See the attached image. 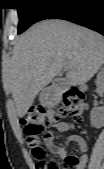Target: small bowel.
Listing matches in <instances>:
<instances>
[{"label": "small bowel", "mask_w": 104, "mask_h": 169, "mask_svg": "<svg viewBox=\"0 0 104 169\" xmlns=\"http://www.w3.org/2000/svg\"><path fill=\"white\" fill-rule=\"evenodd\" d=\"M69 128L70 126L67 122H59L55 125V130L58 132H67ZM45 141L47 142V144L53 145L52 138L49 134L45 136ZM72 145H77L79 150L82 152V156L78 159L79 162L75 168L85 169L88 161V155H87L88 146L85 139L81 135L73 134L67 138V140L62 146L60 147L56 146L58 149V154L65 159L66 157H68L67 152L69 147Z\"/></svg>", "instance_id": "small-bowel-1"}]
</instances>
